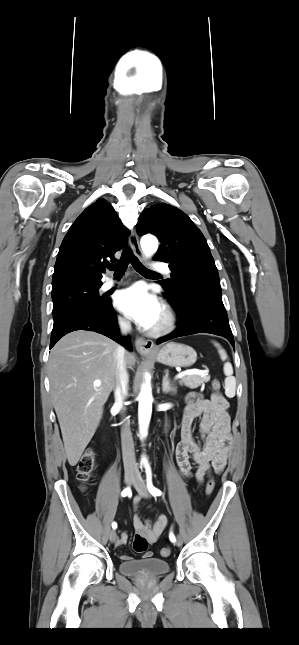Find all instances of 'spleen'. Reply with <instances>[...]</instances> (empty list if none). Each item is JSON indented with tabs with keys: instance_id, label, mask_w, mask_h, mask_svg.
<instances>
[{
	"instance_id": "obj_1",
	"label": "spleen",
	"mask_w": 299,
	"mask_h": 645,
	"mask_svg": "<svg viewBox=\"0 0 299 645\" xmlns=\"http://www.w3.org/2000/svg\"><path fill=\"white\" fill-rule=\"evenodd\" d=\"M214 345L218 349V353L220 355L221 360L225 361L227 360L228 356L226 351L218 344L214 343ZM224 374L226 375L225 381H224V388H225V394L227 397L232 398L235 396V391H236V379L233 376V367L230 362H226L223 367Z\"/></svg>"
}]
</instances>
